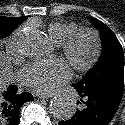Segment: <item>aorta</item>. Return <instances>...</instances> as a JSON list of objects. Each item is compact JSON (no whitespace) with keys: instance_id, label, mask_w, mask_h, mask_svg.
<instances>
[{"instance_id":"762f6f07","label":"aorta","mask_w":125,"mask_h":125,"mask_svg":"<svg viewBox=\"0 0 125 125\" xmlns=\"http://www.w3.org/2000/svg\"><path fill=\"white\" fill-rule=\"evenodd\" d=\"M24 52L26 55L34 59H43L49 56L52 50L51 42L46 34L41 31H33L25 37ZM51 114L59 120H66L71 118L76 106L69 97H56L51 101L49 106Z\"/></svg>"}]
</instances>
